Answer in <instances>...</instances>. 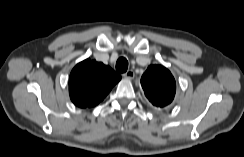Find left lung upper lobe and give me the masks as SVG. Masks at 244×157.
<instances>
[{"instance_id": "5c2ea615", "label": "left lung upper lobe", "mask_w": 244, "mask_h": 157, "mask_svg": "<svg viewBox=\"0 0 244 157\" xmlns=\"http://www.w3.org/2000/svg\"><path fill=\"white\" fill-rule=\"evenodd\" d=\"M141 85L148 100L157 107L167 106L174 99L175 79L161 65H150L141 77Z\"/></svg>"}]
</instances>
